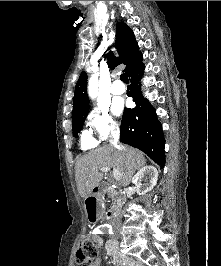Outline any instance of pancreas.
I'll use <instances>...</instances> for the list:
<instances>
[{
    "mask_svg": "<svg viewBox=\"0 0 221 266\" xmlns=\"http://www.w3.org/2000/svg\"><path fill=\"white\" fill-rule=\"evenodd\" d=\"M112 201H113V208L114 209H119L123 204L121 199L116 197V196H113Z\"/></svg>",
    "mask_w": 221,
    "mask_h": 266,
    "instance_id": "pancreas-1",
    "label": "pancreas"
}]
</instances>
